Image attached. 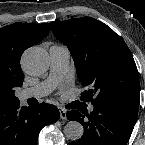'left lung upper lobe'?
Listing matches in <instances>:
<instances>
[{"instance_id": "1", "label": "left lung upper lobe", "mask_w": 145, "mask_h": 145, "mask_svg": "<svg viewBox=\"0 0 145 145\" xmlns=\"http://www.w3.org/2000/svg\"><path fill=\"white\" fill-rule=\"evenodd\" d=\"M67 45L77 75L87 91L84 101H140L138 70L124 40L106 24L90 17L51 23Z\"/></svg>"}]
</instances>
